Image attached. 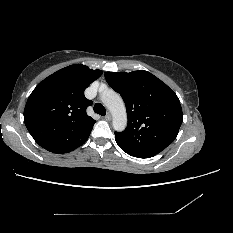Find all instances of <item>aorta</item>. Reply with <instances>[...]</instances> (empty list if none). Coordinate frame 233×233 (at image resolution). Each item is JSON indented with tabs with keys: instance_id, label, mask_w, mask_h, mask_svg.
Returning <instances> with one entry per match:
<instances>
[{
	"instance_id": "obj_1",
	"label": "aorta",
	"mask_w": 233,
	"mask_h": 233,
	"mask_svg": "<svg viewBox=\"0 0 233 233\" xmlns=\"http://www.w3.org/2000/svg\"><path fill=\"white\" fill-rule=\"evenodd\" d=\"M101 99L112 113L113 128L116 131H123L127 126V113L121 96L113 90H108L102 94Z\"/></svg>"
}]
</instances>
